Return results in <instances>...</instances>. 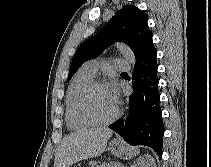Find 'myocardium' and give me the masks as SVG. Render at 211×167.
Here are the masks:
<instances>
[{
    "instance_id": "1",
    "label": "myocardium",
    "mask_w": 211,
    "mask_h": 167,
    "mask_svg": "<svg viewBox=\"0 0 211 167\" xmlns=\"http://www.w3.org/2000/svg\"><path fill=\"white\" fill-rule=\"evenodd\" d=\"M97 87L106 88V84L100 80H93L82 90L78 99V111L80 115L92 125H95V126L109 125L112 122H114L120 114V111L117 105H116V110L114 114L110 118L105 119V120H99L95 118L87 108V99L90 93Z\"/></svg>"
}]
</instances>
